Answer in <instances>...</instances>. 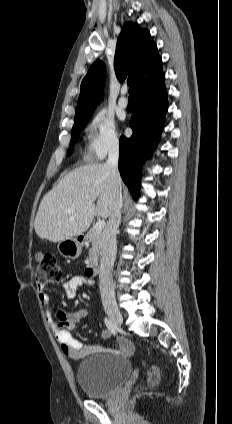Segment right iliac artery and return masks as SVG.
I'll list each match as a JSON object with an SVG mask.
<instances>
[{
	"label": "right iliac artery",
	"instance_id": "82829eb1",
	"mask_svg": "<svg viewBox=\"0 0 232 424\" xmlns=\"http://www.w3.org/2000/svg\"><path fill=\"white\" fill-rule=\"evenodd\" d=\"M104 322H105V325L107 326V328L111 331V333L116 335L117 334V326L115 324H113V322L110 319H108L107 317H105Z\"/></svg>",
	"mask_w": 232,
	"mask_h": 424
}]
</instances>
